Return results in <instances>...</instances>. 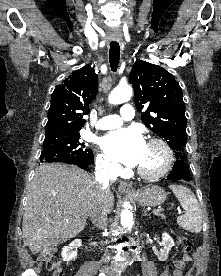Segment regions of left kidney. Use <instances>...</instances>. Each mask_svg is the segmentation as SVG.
<instances>
[{
  "instance_id": "left-kidney-1",
  "label": "left kidney",
  "mask_w": 221,
  "mask_h": 276,
  "mask_svg": "<svg viewBox=\"0 0 221 276\" xmlns=\"http://www.w3.org/2000/svg\"><path fill=\"white\" fill-rule=\"evenodd\" d=\"M161 245L163 246V249L158 251L156 248H154L153 251L160 261H165L168 258L169 251L174 246V241L168 233L162 234Z\"/></svg>"
}]
</instances>
